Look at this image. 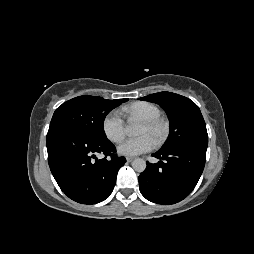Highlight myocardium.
Instances as JSON below:
<instances>
[{
    "label": "myocardium",
    "mask_w": 254,
    "mask_h": 254,
    "mask_svg": "<svg viewBox=\"0 0 254 254\" xmlns=\"http://www.w3.org/2000/svg\"><path fill=\"white\" fill-rule=\"evenodd\" d=\"M142 123L152 129H158L159 133L154 140L157 145L162 144L168 137L170 132L169 122L162 117L142 120Z\"/></svg>",
    "instance_id": "obj_1"
}]
</instances>
